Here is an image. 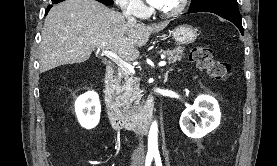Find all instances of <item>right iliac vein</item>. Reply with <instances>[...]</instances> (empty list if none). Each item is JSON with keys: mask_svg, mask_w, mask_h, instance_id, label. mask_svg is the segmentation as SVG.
Returning <instances> with one entry per match:
<instances>
[{"mask_svg": "<svg viewBox=\"0 0 277 166\" xmlns=\"http://www.w3.org/2000/svg\"><path fill=\"white\" fill-rule=\"evenodd\" d=\"M132 166H142L141 162H135L132 164Z\"/></svg>", "mask_w": 277, "mask_h": 166, "instance_id": "1", "label": "right iliac vein"}]
</instances>
